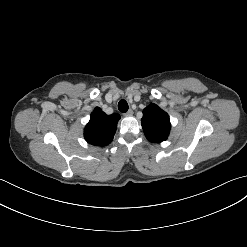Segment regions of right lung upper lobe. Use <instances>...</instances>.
<instances>
[{
  "label": "right lung upper lobe",
  "instance_id": "1",
  "mask_svg": "<svg viewBox=\"0 0 247 247\" xmlns=\"http://www.w3.org/2000/svg\"><path fill=\"white\" fill-rule=\"evenodd\" d=\"M119 119V114L107 115L96 107L84 129L85 140L94 146H107L113 140Z\"/></svg>",
  "mask_w": 247,
  "mask_h": 247
}]
</instances>
